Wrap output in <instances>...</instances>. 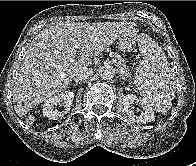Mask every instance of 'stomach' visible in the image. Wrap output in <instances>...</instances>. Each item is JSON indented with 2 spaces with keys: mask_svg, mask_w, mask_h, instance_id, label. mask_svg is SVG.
<instances>
[{
  "mask_svg": "<svg viewBox=\"0 0 196 166\" xmlns=\"http://www.w3.org/2000/svg\"><path fill=\"white\" fill-rule=\"evenodd\" d=\"M138 38L137 31L135 29H130L118 38L119 49L123 52H131L134 49Z\"/></svg>",
  "mask_w": 196,
  "mask_h": 166,
  "instance_id": "0dacf381",
  "label": "stomach"
}]
</instances>
